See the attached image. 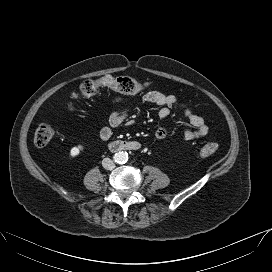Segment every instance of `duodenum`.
<instances>
[{
  "label": "duodenum",
  "instance_id": "410a0bca",
  "mask_svg": "<svg viewBox=\"0 0 272 272\" xmlns=\"http://www.w3.org/2000/svg\"><path fill=\"white\" fill-rule=\"evenodd\" d=\"M109 148L112 152L118 151L137 152L141 148V145L137 141L115 140L110 142Z\"/></svg>",
  "mask_w": 272,
  "mask_h": 272
}]
</instances>
